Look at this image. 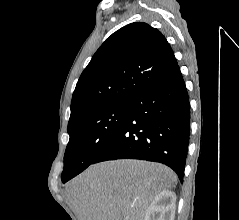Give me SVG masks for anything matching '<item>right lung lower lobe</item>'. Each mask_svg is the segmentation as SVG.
I'll list each match as a JSON object with an SVG mask.
<instances>
[{
  "instance_id": "1",
  "label": "right lung lower lobe",
  "mask_w": 239,
  "mask_h": 220,
  "mask_svg": "<svg viewBox=\"0 0 239 220\" xmlns=\"http://www.w3.org/2000/svg\"><path fill=\"white\" fill-rule=\"evenodd\" d=\"M190 104L179 66L140 92L127 116L93 163L142 159L163 163L183 181L189 144Z\"/></svg>"
}]
</instances>
